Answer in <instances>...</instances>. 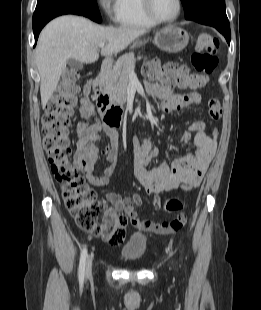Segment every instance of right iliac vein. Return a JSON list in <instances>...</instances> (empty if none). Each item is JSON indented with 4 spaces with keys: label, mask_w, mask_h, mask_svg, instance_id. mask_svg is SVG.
<instances>
[{
    "label": "right iliac vein",
    "mask_w": 261,
    "mask_h": 310,
    "mask_svg": "<svg viewBox=\"0 0 261 310\" xmlns=\"http://www.w3.org/2000/svg\"><path fill=\"white\" fill-rule=\"evenodd\" d=\"M92 271V256L88 257L87 266H86V277L89 278L91 276Z\"/></svg>",
    "instance_id": "1"
}]
</instances>
